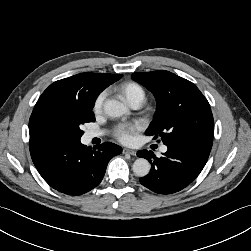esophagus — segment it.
Here are the masks:
<instances>
[{
    "mask_svg": "<svg viewBox=\"0 0 251 251\" xmlns=\"http://www.w3.org/2000/svg\"><path fill=\"white\" fill-rule=\"evenodd\" d=\"M123 153H124V154H130V155H133V156L136 155V151L133 150V149H130V148H124V149H123Z\"/></svg>",
    "mask_w": 251,
    "mask_h": 251,
    "instance_id": "obj_1",
    "label": "esophagus"
}]
</instances>
